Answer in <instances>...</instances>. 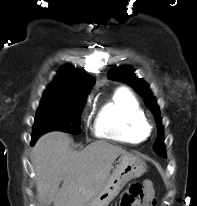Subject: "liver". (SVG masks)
I'll return each mask as SVG.
<instances>
[{
    "instance_id": "6515ba94",
    "label": "liver",
    "mask_w": 197,
    "mask_h": 206,
    "mask_svg": "<svg viewBox=\"0 0 197 206\" xmlns=\"http://www.w3.org/2000/svg\"><path fill=\"white\" fill-rule=\"evenodd\" d=\"M70 143L68 134L53 131L33 147L37 197L42 204L84 206L110 176L114 160L127 154L106 141L93 142L82 151L72 150Z\"/></svg>"
}]
</instances>
